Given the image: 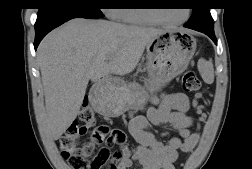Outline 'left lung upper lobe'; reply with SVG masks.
Listing matches in <instances>:
<instances>
[{
	"instance_id": "left-lung-upper-lobe-1",
	"label": "left lung upper lobe",
	"mask_w": 252,
	"mask_h": 169,
	"mask_svg": "<svg viewBox=\"0 0 252 169\" xmlns=\"http://www.w3.org/2000/svg\"><path fill=\"white\" fill-rule=\"evenodd\" d=\"M196 6L193 9V14L187 21L185 26L197 31L214 32V20L210 14L209 8L205 6L208 0H194Z\"/></svg>"
}]
</instances>
